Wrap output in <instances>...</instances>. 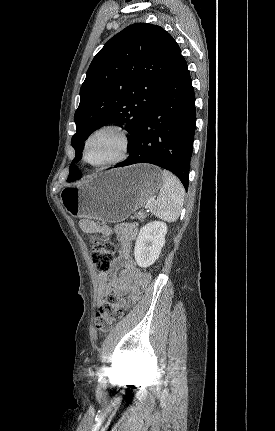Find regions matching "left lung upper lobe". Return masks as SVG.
Instances as JSON below:
<instances>
[{"label": "left lung upper lobe", "mask_w": 275, "mask_h": 431, "mask_svg": "<svg viewBox=\"0 0 275 431\" xmlns=\"http://www.w3.org/2000/svg\"><path fill=\"white\" fill-rule=\"evenodd\" d=\"M180 54L168 32L147 23L126 27L104 45L80 89L71 140L76 155L68 178L81 173L74 163L82 157L83 142L104 124L125 125L130 149Z\"/></svg>", "instance_id": "1"}]
</instances>
